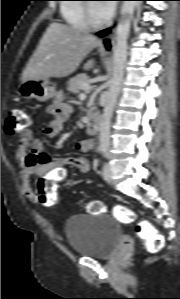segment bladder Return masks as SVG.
<instances>
[{"mask_svg":"<svg viewBox=\"0 0 180 299\" xmlns=\"http://www.w3.org/2000/svg\"><path fill=\"white\" fill-rule=\"evenodd\" d=\"M63 230L74 253L96 259L109 258L122 236L118 222L105 213L73 215L65 221Z\"/></svg>","mask_w":180,"mask_h":299,"instance_id":"bladder-1","label":"bladder"}]
</instances>
